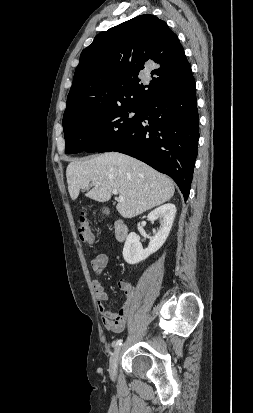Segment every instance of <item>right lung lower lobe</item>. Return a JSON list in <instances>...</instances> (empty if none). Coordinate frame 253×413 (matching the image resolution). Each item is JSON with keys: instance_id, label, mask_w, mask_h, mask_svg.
<instances>
[{"instance_id": "right-lung-lower-lobe-1", "label": "right lung lower lobe", "mask_w": 253, "mask_h": 413, "mask_svg": "<svg viewBox=\"0 0 253 413\" xmlns=\"http://www.w3.org/2000/svg\"><path fill=\"white\" fill-rule=\"evenodd\" d=\"M138 124L99 152L116 151L169 175L187 200L199 139V114L193 75L180 88L144 102ZM148 120V125L142 123Z\"/></svg>"}]
</instances>
